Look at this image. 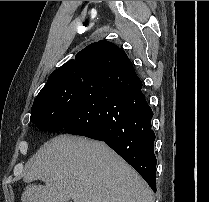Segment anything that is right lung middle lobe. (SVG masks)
<instances>
[{
	"label": "right lung middle lobe",
	"mask_w": 209,
	"mask_h": 202,
	"mask_svg": "<svg viewBox=\"0 0 209 202\" xmlns=\"http://www.w3.org/2000/svg\"><path fill=\"white\" fill-rule=\"evenodd\" d=\"M93 79L90 74L76 73L48 81L34 100L30 120L43 131L62 130L80 107L86 87Z\"/></svg>",
	"instance_id": "dd1d6c3e"
}]
</instances>
